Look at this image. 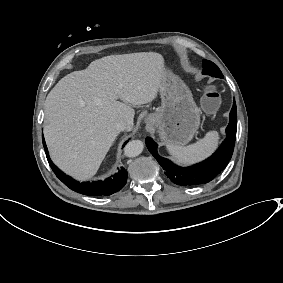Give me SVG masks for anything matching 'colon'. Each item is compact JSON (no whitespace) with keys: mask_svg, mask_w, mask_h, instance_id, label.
Wrapping results in <instances>:
<instances>
[{"mask_svg":"<svg viewBox=\"0 0 283 283\" xmlns=\"http://www.w3.org/2000/svg\"><path fill=\"white\" fill-rule=\"evenodd\" d=\"M201 103L204 110L212 114L218 110L221 104V96L214 87L208 86L203 90Z\"/></svg>","mask_w":283,"mask_h":283,"instance_id":"1","label":"colon"}]
</instances>
